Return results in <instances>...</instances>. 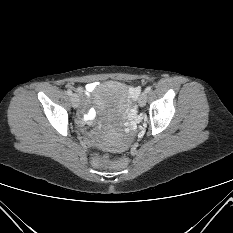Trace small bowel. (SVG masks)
I'll use <instances>...</instances> for the list:
<instances>
[{
	"label": "small bowel",
	"instance_id": "1",
	"mask_svg": "<svg viewBox=\"0 0 233 233\" xmlns=\"http://www.w3.org/2000/svg\"><path fill=\"white\" fill-rule=\"evenodd\" d=\"M98 82H91L88 83L83 89H79V92L86 96L87 98L90 97L92 92L96 89L98 86ZM131 93L134 94L135 91L131 90ZM94 118V110L92 108L88 109L82 116H81V121L82 122H90Z\"/></svg>",
	"mask_w": 233,
	"mask_h": 233
}]
</instances>
